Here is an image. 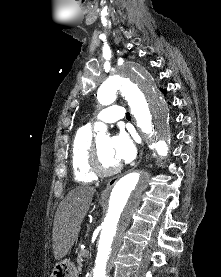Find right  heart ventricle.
Instances as JSON below:
<instances>
[{
	"label": "right heart ventricle",
	"instance_id": "1",
	"mask_svg": "<svg viewBox=\"0 0 221 277\" xmlns=\"http://www.w3.org/2000/svg\"><path fill=\"white\" fill-rule=\"evenodd\" d=\"M93 134L89 126L80 128L73 139L71 149V166L74 179L79 183H90L96 179L89 167V154Z\"/></svg>",
	"mask_w": 221,
	"mask_h": 277
}]
</instances>
